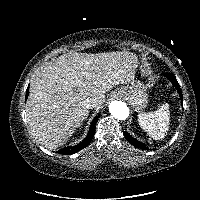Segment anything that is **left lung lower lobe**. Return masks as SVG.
Wrapping results in <instances>:
<instances>
[{
  "instance_id": "obj_1",
  "label": "left lung lower lobe",
  "mask_w": 200,
  "mask_h": 200,
  "mask_svg": "<svg viewBox=\"0 0 200 200\" xmlns=\"http://www.w3.org/2000/svg\"><path fill=\"white\" fill-rule=\"evenodd\" d=\"M163 75H164L165 77H167V78L172 82V84L175 86V88L177 89V91H178V93H179L180 99H181V101H182V103H183V97H182L181 88H180V85H179V83L177 82L175 76H174L172 73H165V74H163ZM123 134H124L126 140H127L129 143H131L133 146H135V147H137V148H140V149H143V150H148V147H147L144 143H142V142L138 141L137 139L133 138V137H132L131 135H129L127 132H124Z\"/></svg>"
}]
</instances>
